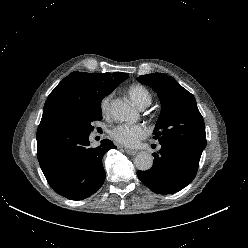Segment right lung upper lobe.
Segmentation results:
<instances>
[{
	"label": "right lung upper lobe",
	"mask_w": 248,
	"mask_h": 248,
	"mask_svg": "<svg viewBox=\"0 0 248 248\" xmlns=\"http://www.w3.org/2000/svg\"><path fill=\"white\" fill-rule=\"evenodd\" d=\"M127 73L72 72L48 96L43 110L37 138L59 128L66 119L80 115L110 94Z\"/></svg>",
	"instance_id": "cb5924a9"
}]
</instances>
